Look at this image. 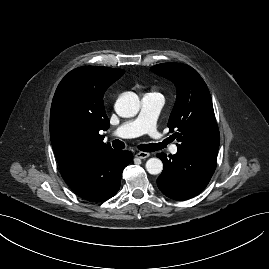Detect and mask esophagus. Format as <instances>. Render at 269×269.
<instances>
[{
    "label": "esophagus",
    "instance_id": "34e87169",
    "mask_svg": "<svg viewBox=\"0 0 269 269\" xmlns=\"http://www.w3.org/2000/svg\"><path fill=\"white\" fill-rule=\"evenodd\" d=\"M149 156H150V154L147 152H137L135 154V157L139 158V159H145V158H148Z\"/></svg>",
    "mask_w": 269,
    "mask_h": 269
}]
</instances>
